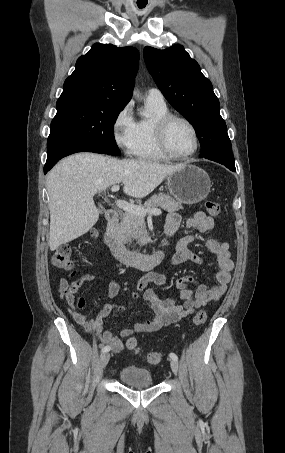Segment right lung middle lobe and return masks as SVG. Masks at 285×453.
Segmentation results:
<instances>
[{"mask_svg":"<svg viewBox=\"0 0 285 453\" xmlns=\"http://www.w3.org/2000/svg\"><path fill=\"white\" fill-rule=\"evenodd\" d=\"M124 105L103 100L57 101L51 127H61L95 146L100 153L119 155L114 123Z\"/></svg>","mask_w":285,"mask_h":453,"instance_id":"right-lung-middle-lobe-1","label":"right lung middle lobe"}]
</instances>
